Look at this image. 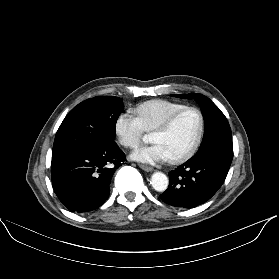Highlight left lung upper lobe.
<instances>
[{
    "label": "left lung upper lobe",
    "mask_w": 279,
    "mask_h": 279,
    "mask_svg": "<svg viewBox=\"0 0 279 279\" xmlns=\"http://www.w3.org/2000/svg\"><path fill=\"white\" fill-rule=\"evenodd\" d=\"M175 97L185 99L195 98L201 107L205 121V131L199 150L194 156H199L207 151H218L233 157L232 133L229 123L220 109L202 94H179Z\"/></svg>",
    "instance_id": "left-lung-upper-lobe-1"
}]
</instances>
